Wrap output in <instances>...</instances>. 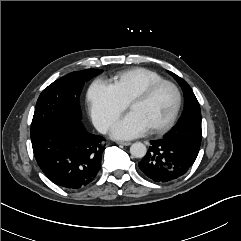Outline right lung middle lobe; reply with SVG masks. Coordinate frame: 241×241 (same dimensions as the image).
Here are the masks:
<instances>
[{
	"label": "right lung middle lobe",
	"instance_id": "right-lung-middle-lobe-1",
	"mask_svg": "<svg viewBox=\"0 0 241 241\" xmlns=\"http://www.w3.org/2000/svg\"><path fill=\"white\" fill-rule=\"evenodd\" d=\"M102 72L86 69L54 81L40 94L31 124V138L63 120H80L79 96L84 83Z\"/></svg>",
	"mask_w": 241,
	"mask_h": 241
}]
</instances>
